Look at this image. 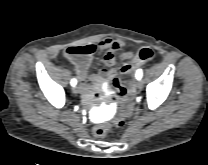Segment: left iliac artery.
<instances>
[{
  "instance_id": "obj_1",
  "label": "left iliac artery",
  "mask_w": 208,
  "mask_h": 165,
  "mask_svg": "<svg viewBox=\"0 0 208 165\" xmlns=\"http://www.w3.org/2000/svg\"><path fill=\"white\" fill-rule=\"evenodd\" d=\"M142 75H143L142 70L141 69L137 70L136 79L140 80L142 78Z\"/></svg>"
}]
</instances>
